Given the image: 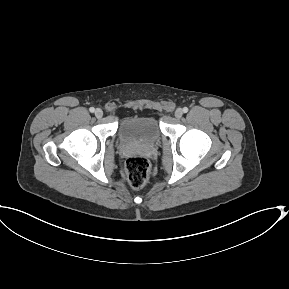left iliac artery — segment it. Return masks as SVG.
I'll use <instances>...</instances> for the list:
<instances>
[{"label":"left iliac artery","mask_w":289,"mask_h":289,"mask_svg":"<svg viewBox=\"0 0 289 289\" xmlns=\"http://www.w3.org/2000/svg\"><path fill=\"white\" fill-rule=\"evenodd\" d=\"M183 112H184V113H187V112H188V108H187V107H184V108H183Z\"/></svg>","instance_id":"obj_1"}]
</instances>
